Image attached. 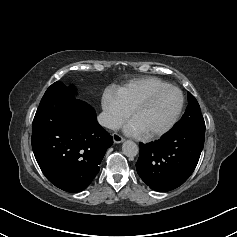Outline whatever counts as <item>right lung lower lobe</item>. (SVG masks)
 <instances>
[{"label":"right lung lower lobe","mask_w":237,"mask_h":237,"mask_svg":"<svg viewBox=\"0 0 237 237\" xmlns=\"http://www.w3.org/2000/svg\"><path fill=\"white\" fill-rule=\"evenodd\" d=\"M112 144L89 104L61 82L47 89L33 120L32 149L52 184L71 193L82 191Z\"/></svg>","instance_id":"right-lung-lower-lobe-1"}]
</instances>
